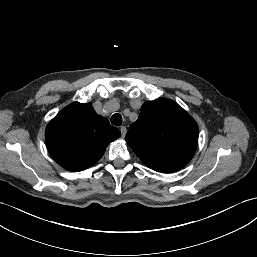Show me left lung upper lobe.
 <instances>
[{
	"label": "left lung upper lobe",
	"instance_id": "left-lung-upper-lobe-1",
	"mask_svg": "<svg viewBox=\"0 0 257 257\" xmlns=\"http://www.w3.org/2000/svg\"><path fill=\"white\" fill-rule=\"evenodd\" d=\"M195 120L177 103L158 98L143 104L126 142L151 169L171 173L193 157L198 143Z\"/></svg>",
	"mask_w": 257,
	"mask_h": 257
}]
</instances>
